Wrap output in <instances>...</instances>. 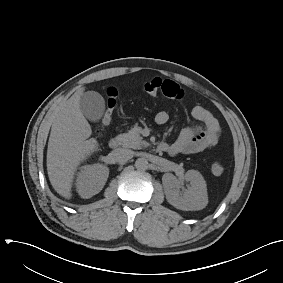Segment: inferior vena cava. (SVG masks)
I'll list each match as a JSON object with an SVG mask.
<instances>
[{"instance_id": "1", "label": "inferior vena cava", "mask_w": 283, "mask_h": 283, "mask_svg": "<svg viewBox=\"0 0 283 283\" xmlns=\"http://www.w3.org/2000/svg\"><path fill=\"white\" fill-rule=\"evenodd\" d=\"M133 154L132 150L126 148H118L111 153L114 162L128 161L133 157Z\"/></svg>"}]
</instances>
